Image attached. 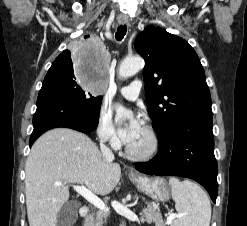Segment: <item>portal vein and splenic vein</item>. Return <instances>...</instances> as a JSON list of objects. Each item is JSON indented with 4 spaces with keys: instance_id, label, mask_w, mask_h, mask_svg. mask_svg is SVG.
Listing matches in <instances>:
<instances>
[{
    "instance_id": "obj_1",
    "label": "portal vein and splenic vein",
    "mask_w": 247,
    "mask_h": 226,
    "mask_svg": "<svg viewBox=\"0 0 247 226\" xmlns=\"http://www.w3.org/2000/svg\"><path fill=\"white\" fill-rule=\"evenodd\" d=\"M57 186H60L61 184H56ZM73 189L80 194L82 197H84L87 201H89L92 205L97 207L102 212H108V208L104 204V202L97 197L94 193H92L89 189H87L85 186H73ZM179 217L177 214H170L167 218L166 223L170 224L175 218Z\"/></svg>"
}]
</instances>
